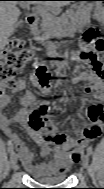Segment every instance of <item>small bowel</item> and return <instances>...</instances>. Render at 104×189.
<instances>
[{
	"label": "small bowel",
	"mask_w": 104,
	"mask_h": 189,
	"mask_svg": "<svg viewBox=\"0 0 104 189\" xmlns=\"http://www.w3.org/2000/svg\"><path fill=\"white\" fill-rule=\"evenodd\" d=\"M62 70L63 66H61L60 72ZM33 77L36 79L35 72L33 73ZM73 81L74 83H84V92L93 95L95 103L101 104L103 84L98 73L83 72L76 76ZM8 104V96L0 98V108L2 110ZM90 107L87 111L79 113V117L87 116L88 119L86 126L76 131L75 138L69 137L57 129H53L51 132L52 139L50 141H44L33 129L31 120L32 118L41 119L49 125L47 115L49 114L50 108L46 103L37 102L30 93L23 95L20 101V108L14 116L10 117L4 112L0 113V126L4 134L9 138V145L16 149L24 168L29 173L32 175H41L44 171L54 170L55 168H60L63 172H66L72 163L78 162L85 147L101 134L103 116L93 119ZM13 123L25 127L29 135L42 145L43 155L47 160L39 164H33L34 155L18 134L14 132L12 128Z\"/></svg>",
	"instance_id": "c3829d8e"
}]
</instances>
